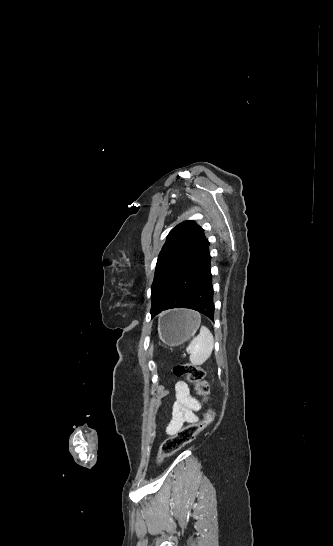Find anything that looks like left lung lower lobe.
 I'll return each mask as SVG.
<instances>
[{
	"label": "left lung lower lobe",
	"mask_w": 333,
	"mask_h": 546,
	"mask_svg": "<svg viewBox=\"0 0 333 546\" xmlns=\"http://www.w3.org/2000/svg\"><path fill=\"white\" fill-rule=\"evenodd\" d=\"M213 285L209 242L206 239L199 255L177 276L168 290L161 311L171 308L196 310L214 319Z\"/></svg>",
	"instance_id": "1"
}]
</instances>
